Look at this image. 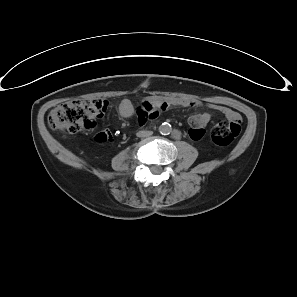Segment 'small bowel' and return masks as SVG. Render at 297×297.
Here are the masks:
<instances>
[{"label":"small bowel","instance_id":"obj_1","mask_svg":"<svg viewBox=\"0 0 297 297\" xmlns=\"http://www.w3.org/2000/svg\"><path fill=\"white\" fill-rule=\"evenodd\" d=\"M172 105L182 107H197L200 106L201 103L184 99L144 101L138 111L139 122L144 124L147 120L156 118L159 115V112ZM210 107L225 115L228 120H232L239 115L235 111L225 106L212 104ZM134 112V106L129 100L125 99L120 103L119 113L122 117L129 118L133 116ZM210 119L211 115L209 113H197L190 116L189 123L192 128L189 131V135L193 140H199L202 138L204 135V128Z\"/></svg>","mask_w":297,"mask_h":297}]
</instances>
